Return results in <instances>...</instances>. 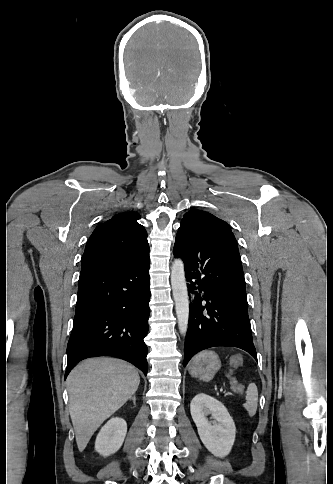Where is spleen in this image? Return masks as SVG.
Here are the masks:
<instances>
[{
    "mask_svg": "<svg viewBox=\"0 0 333 484\" xmlns=\"http://www.w3.org/2000/svg\"><path fill=\"white\" fill-rule=\"evenodd\" d=\"M233 388L236 387V381L232 382ZM257 403H258V390L255 383H250L247 387L246 391V402L243 404V407L248 412L250 417L254 416L257 411Z\"/></svg>",
    "mask_w": 333,
    "mask_h": 484,
    "instance_id": "obj_1",
    "label": "spleen"
}]
</instances>
